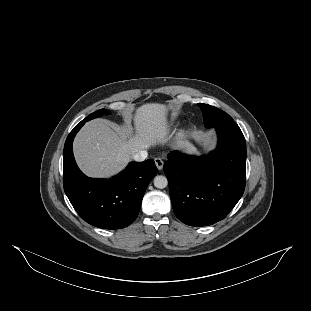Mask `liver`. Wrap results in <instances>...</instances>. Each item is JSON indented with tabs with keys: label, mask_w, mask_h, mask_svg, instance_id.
Listing matches in <instances>:
<instances>
[{
	"label": "liver",
	"mask_w": 311,
	"mask_h": 311,
	"mask_svg": "<svg viewBox=\"0 0 311 311\" xmlns=\"http://www.w3.org/2000/svg\"><path fill=\"white\" fill-rule=\"evenodd\" d=\"M128 128L96 119L88 122L79 132L74 143L78 164L90 176L108 177L119 171L129 160L130 154L146 149L148 144L161 142L164 131V107L147 104L137 114L125 113ZM135 118L137 136L129 141L131 123Z\"/></svg>",
	"instance_id": "liver-1"
}]
</instances>
